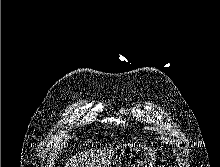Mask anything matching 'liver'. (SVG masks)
<instances>
[{"label":"liver","mask_w":220,"mask_h":167,"mask_svg":"<svg viewBox=\"0 0 220 167\" xmlns=\"http://www.w3.org/2000/svg\"><path fill=\"white\" fill-rule=\"evenodd\" d=\"M116 149H95L73 156L65 167H106Z\"/></svg>","instance_id":"1"}]
</instances>
